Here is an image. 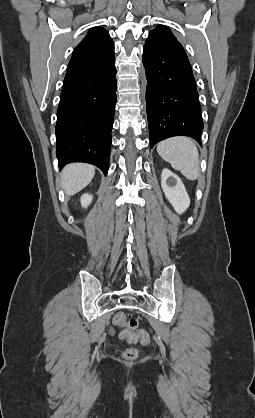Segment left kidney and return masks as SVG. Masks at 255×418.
<instances>
[{"label": "left kidney", "mask_w": 255, "mask_h": 418, "mask_svg": "<svg viewBox=\"0 0 255 418\" xmlns=\"http://www.w3.org/2000/svg\"><path fill=\"white\" fill-rule=\"evenodd\" d=\"M163 192L178 214H182L190 205V198L181 179L169 169H163L161 175Z\"/></svg>", "instance_id": "obj_1"}]
</instances>
